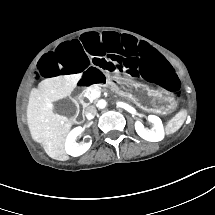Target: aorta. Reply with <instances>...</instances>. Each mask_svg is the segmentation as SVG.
Returning a JSON list of instances; mask_svg holds the SVG:
<instances>
[{
  "label": "aorta",
  "mask_w": 215,
  "mask_h": 215,
  "mask_svg": "<svg viewBox=\"0 0 215 215\" xmlns=\"http://www.w3.org/2000/svg\"><path fill=\"white\" fill-rule=\"evenodd\" d=\"M108 105V102L105 100V99H100L98 102H97V107L99 109H105Z\"/></svg>",
  "instance_id": "obj_1"
}]
</instances>
